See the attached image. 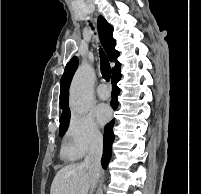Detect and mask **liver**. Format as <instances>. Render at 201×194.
Listing matches in <instances>:
<instances>
[{
	"label": "liver",
	"instance_id": "6515ba94",
	"mask_svg": "<svg viewBox=\"0 0 201 194\" xmlns=\"http://www.w3.org/2000/svg\"><path fill=\"white\" fill-rule=\"evenodd\" d=\"M91 179V172L84 163L66 165L55 175L50 194H87Z\"/></svg>",
	"mask_w": 201,
	"mask_h": 194
}]
</instances>
